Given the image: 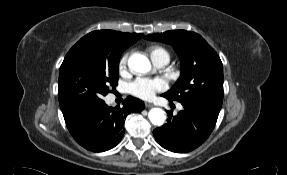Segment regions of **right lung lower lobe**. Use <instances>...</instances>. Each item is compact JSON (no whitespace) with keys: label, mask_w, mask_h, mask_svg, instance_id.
<instances>
[{"label":"right lung lower lobe","mask_w":287,"mask_h":175,"mask_svg":"<svg viewBox=\"0 0 287 175\" xmlns=\"http://www.w3.org/2000/svg\"><path fill=\"white\" fill-rule=\"evenodd\" d=\"M144 109V103L129 96L123 106L109 107L104 100L84 103L62 110L70 134L78 144L93 152H103L115 147L124 135V119Z\"/></svg>","instance_id":"right-lung-lower-lobe-1"}]
</instances>
